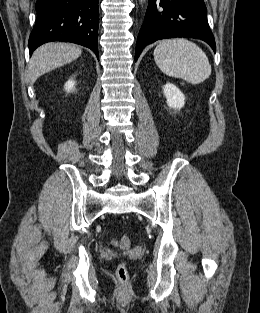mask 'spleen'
I'll return each mask as SVG.
<instances>
[{"label": "spleen", "mask_w": 260, "mask_h": 313, "mask_svg": "<svg viewBox=\"0 0 260 313\" xmlns=\"http://www.w3.org/2000/svg\"><path fill=\"white\" fill-rule=\"evenodd\" d=\"M154 60L164 74L193 85L202 83L211 74V65L204 51L184 38L161 41L154 49Z\"/></svg>", "instance_id": "1"}]
</instances>
